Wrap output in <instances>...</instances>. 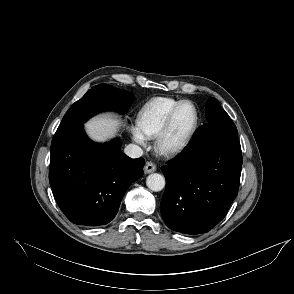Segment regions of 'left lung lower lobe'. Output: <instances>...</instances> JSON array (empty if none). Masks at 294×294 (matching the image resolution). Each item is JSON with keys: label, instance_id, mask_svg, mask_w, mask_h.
Here are the masks:
<instances>
[{"label": "left lung lower lobe", "instance_id": "0a47b994", "mask_svg": "<svg viewBox=\"0 0 294 294\" xmlns=\"http://www.w3.org/2000/svg\"><path fill=\"white\" fill-rule=\"evenodd\" d=\"M241 168L235 124L201 126L189 146L162 167L166 189L160 207L166 225L186 234L210 231L237 196Z\"/></svg>", "mask_w": 294, "mask_h": 294}]
</instances>
